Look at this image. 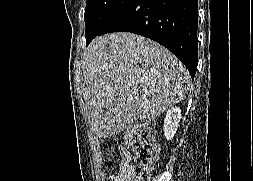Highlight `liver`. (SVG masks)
<instances>
[{
  "instance_id": "liver-1",
  "label": "liver",
  "mask_w": 253,
  "mask_h": 181,
  "mask_svg": "<svg viewBox=\"0 0 253 181\" xmlns=\"http://www.w3.org/2000/svg\"><path fill=\"white\" fill-rule=\"evenodd\" d=\"M82 72L88 121L103 138L148 125L184 98L190 80L168 49L133 33L94 39Z\"/></svg>"
}]
</instances>
